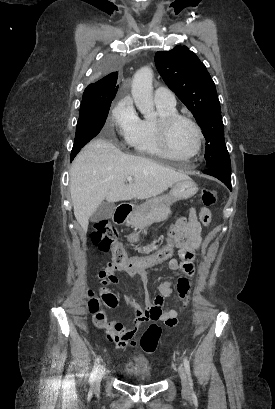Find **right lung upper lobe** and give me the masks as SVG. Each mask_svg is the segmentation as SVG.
<instances>
[{
	"instance_id": "cb5924a9",
	"label": "right lung upper lobe",
	"mask_w": 275,
	"mask_h": 409,
	"mask_svg": "<svg viewBox=\"0 0 275 409\" xmlns=\"http://www.w3.org/2000/svg\"><path fill=\"white\" fill-rule=\"evenodd\" d=\"M118 73H110L106 77L87 86L82 100L100 101L113 100L118 90Z\"/></svg>"
}]
</instances>
